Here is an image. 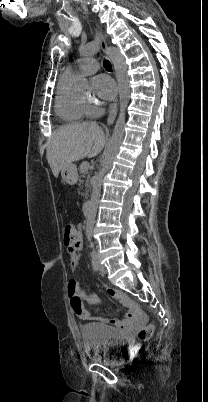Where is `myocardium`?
<instances>
[{
	"instance_id": "1",
	"label": "myocardium",
	"mask_w": 208,
	"mask_h": 402,
	"mask_svg": "<svg viewBox=\"0 0 208 402\" xmlns=\"http://www.w3.org/2000/svg\"><path fill=\"white\" fill-rule=\"evenodd\" d=\"M81 97H82V99H83L84 101L88 99V96H87V95H84V94H81Z\"/></svg>"
}]
</instances>
